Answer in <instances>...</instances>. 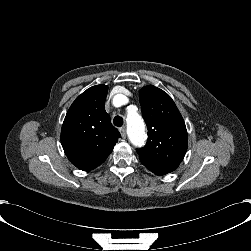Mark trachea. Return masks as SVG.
Wrapping results in <instances>:
<instances>
[{
    "instance_id": "3493384b",
    "label": "trachea",
    "mask_w": 251,
    "mask_h": 251,
    "mask_svg": "<svg viewBox=\"0 0 251 251\" xmlns=\"http://www.w3.org/2000/svg\"><path fill=\"white\" fill-rule=\"evenodd\" d=\"M113 123L116 127H122L124 120L121 116H116L113 119Z\"/></svg>"
}]
</instances>
